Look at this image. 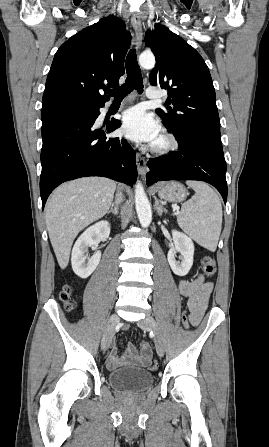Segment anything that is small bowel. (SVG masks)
I'll use <instances>...</instances> for the list:
<instances>
[{
	"label": "small bowel",
	"instance_id": "1",
	"mask_svg": "<svg viewBox=\"0 0 269 447\" xmlns=\"http://www.w3.org/2000/svg\"><path fill=\"white\" fill-rule=\"evenodd\" d=\"M213 283L206 281L202 274L198 275L192 281L180 280L178 282L179 292L188 298V307L190 309V322L198 325L208 307L209 298L213 291ZM140 337V334H137ZM145 343L140 344V355H137L136 348L132 344H128L125 353L118 356L117 349L113 347L110 350L107 366L111 369L122 366L128 361L134 362L136 365L145 368L146 361H152L153 356H142L141 349Z\"/></svg>",
	"mask_w": 269,
	"mask_h": 447
}]
</instances>
